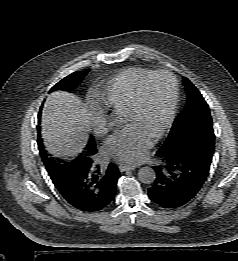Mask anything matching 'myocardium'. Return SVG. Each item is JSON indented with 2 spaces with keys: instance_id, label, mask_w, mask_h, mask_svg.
Segmentation results:
<instances>
[{
  "instance_id": "f54148a6",
  "label": "myocardium",
  "mask_w": 238,
  "mask_h": 261,
  "mask_svg": "<svg viewBox=\"0 0 238 261\" xmlns=\"http://www.w3.org/2000/svg\"><path fill=\"white\" fill-rule=\"evenodd\" d=\"M167 76L170 78L171 84H172V98H171V104H170V109L168 112V115L166 117V120L164 121L163 125L161 128L157 131V133L154 135L153 140L157 141L159 140L172 126L176 112H177V107H178V102H179V84L176 76L169 70H157V71H152L149 73L146 77L142 79V81L139 83L134 99L128 108L126 114L133 113L138 111L141 108L142 102H143V97H144V91L147 86V84L155 77L157 76Z\"/></svg>"
}]
</instances>
